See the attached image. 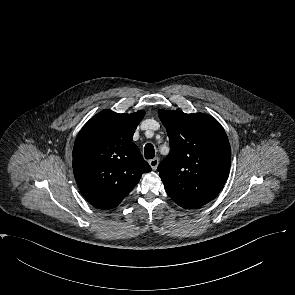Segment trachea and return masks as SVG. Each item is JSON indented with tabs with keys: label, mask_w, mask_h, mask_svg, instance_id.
Returning <instances> with one entry per match:
<instances>
[{
	"label": "trachea",
	"mask_w": 295,
	"mask_h": 295,
	"mask_svg": "<svg viewBox=\"0 0 295 295\" xmlns=\"http://www.w3.org/2000/svg\"><path fill=\"white\" fill-rule=\"evenodd\" d=\"M144 154L146 159H153L155 156V150L152 144L148 143L145 145Z\"/></svg>",
	"instance_id": "1"
}]
</instances>
